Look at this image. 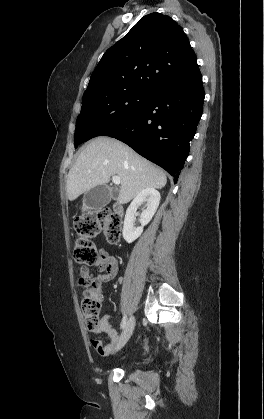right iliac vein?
Segmentation results:
<instances>
[{
  "instance_id": "right-iliac-vein-1",
  "label": "right iliac vein",
  "mask_w": 264,
  "mask_h": 419,
  "mask_svg": "<svg viewBox=\"0 0 264 419\" xmlns=\"http://www.w3.org/2000/svg\"><path fill=\"white\" fill-rule=\"evenodd\" d=\"M134 327H135V318L131 316L126 323L123 329V332L121 333L119 343H118V349L122 348L127 343V341L129 340V338L131 337L133 333Z\"/></svg>"
}]
</instances>
